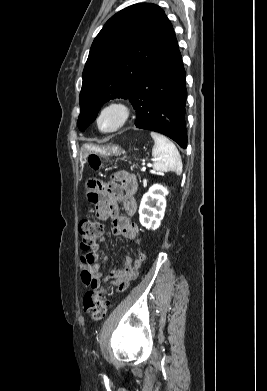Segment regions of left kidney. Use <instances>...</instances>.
Wrapping results in <instances>:
<instances>
[{"label":"left kidney","instance_id":"1","mask_svg":"<svg viewBox=\"0 0 267 391\" xmlns=\"http://www.w3.org/2000/svg\"><path fill=\"white\" fill-rule=\"evenodd\" d=\"M167 194L165 187L155 184L143 195L139 207V220L142 226L153 230L160 226L166 208Z\"/></svg>","mask_w":267,"mask_h":391}]
</instances>
